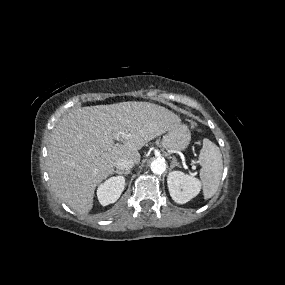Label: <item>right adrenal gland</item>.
<instances>
[{
    "instance_id": "1",
    "label": "right adrenal gland",
    "mask_w": 285,
    "mask_h": 285,
    "mask_svg": "<svg viewBox=\"0 0 285 285\" xmlns=\"http://www.w3.org/2000/svg\"><path fill=\"white\" fill-rule=\"evenodd\" d=\"M114 173L128 175L130 173V170H128V171L116 170V171H114Z\"/></svg>"
}]
</instances>
